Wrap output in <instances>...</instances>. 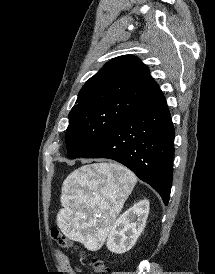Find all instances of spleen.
Segmentation results:
<instances>
[{
  "mask_svg": "<svg viewBox=\"0 0 215 274\" xmlns=\"http://www.w3.org/2000/svg\"><path fill=\"white\" fill-rule=\"evenodd\" d=\"M136 182L130 170L117 164L73 171L63 182L58 226L68 238L88 247L103 242Z\"/></svg>",
  "mask_w": 215,
  "mask_h": 274,
  "instance_id": "1",
  "label": "spleen"
}]
</instances>
